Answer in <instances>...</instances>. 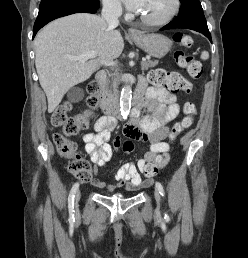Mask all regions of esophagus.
Listing matches in <instances>:
<instances>
[{
	"label": "esophagus",
	"mask_w": 248,
	"mask_h": 258,
	"mask_svg": "<svg viewBox=\"0 0 248 258\" xmlns=\"http://www.w3.org/2000/svg\"><path fill=\"white\" fill-rule=\"evenodd\" d=\"M128 34L129 35H138L139 32L136 29H134V28H129L128 29Z\"/></svg>",
	"instance_id": "obj_1"
}]
</instances>
